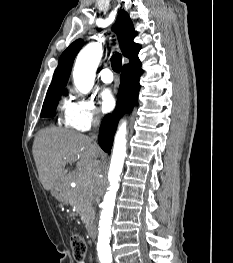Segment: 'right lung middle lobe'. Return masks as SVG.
I'll return each instance as SVG.
<instances>
[{"label": "right lung middle lobe", "mask_w": 233, "mask_h": 263, "mask_svg": "<svg viewBox=\"0 0 233 263\" xmlns=\"http://www.w3.org/2000/svg\"><path fill=\"white\" fill-rule=\"evenodd\" d=\"M63 89L64 87L47 92L41 111L42 118H49L55 115L56 107L58 105Z\"/></svg>", "instance_id": "dd1d6c3e"}]
</instances>
